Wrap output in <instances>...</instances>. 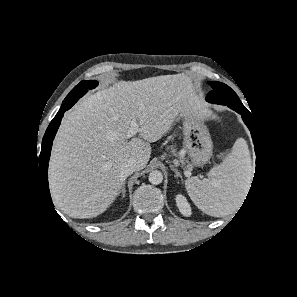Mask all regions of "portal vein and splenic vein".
<instances>
[{
	"instance_id": "portal-vein-and-splenic-vein-1",
	"label": "portal vein and splenic vein",
	"mask_w": 297,
	"mask_h": 297,
	"mask_svg": "<svg viewBox=\"0 0 297 297\" xmlns=\"http://www.w3.org/2000/svg\"><path fill=\"white\" fill-rule=\"evenodd\" d=\"M140 131L139 126L136 122H132L127 132L126 138L129 139L136 135Z\"/></svg>"
}]
</instances>
